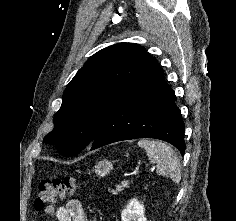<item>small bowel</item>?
I'll list each match as a JSON object with an SVG mask.
<instances>
[{"label": "small bowel", "mask_w": 236, "mask_h": 221, "mask_svg": "<svg viewBox=\"0 0 236 221\" xmlns=\"http://www.w3.org/2000/svg\"><path fill=\"white\" fill-rule=\"evenodd\" d=\"M45 213L49 217L47 221H52V219L58 221H96V216H87L79 199H70L66 204L59 207L48 206L45 208Z\"/></svg>", "instance_id": "1"}]
</instances>
